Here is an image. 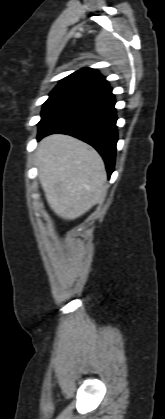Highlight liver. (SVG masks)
<instances>
[{"label": "liver", "mask_w": 165, "mask_h": 419, "mask_svg": "<svg viewBox=\"0 0 165 419\" xmlns=\"http://www.w3.org/2000/svg\"><path fill=\"white\" fill-rule=\"evenodd\" d=\"M40 184L50 208L74 220L104 201L107 173L99 153L68 135L44 138L36 151Z\"/></svg>", "instance_id": "liver-1"}]
</instances>
